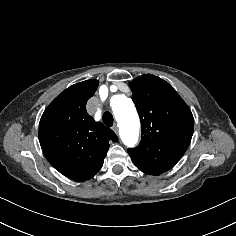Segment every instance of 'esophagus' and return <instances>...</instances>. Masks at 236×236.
I'll list each match as a JSON object with an SVG mask.
<instances>
[{
  "mask_svg": "<svg viewBox=\"0 0 236 236\" xmlns=\"http://www.w3.org/2000/svg\"><path fill=\"white\" fill-rule=\"evenodd\" d=\"M112 130L117 134L118 133V127L116 124L112 126Z\"/></svg>",
  "mask_w": 236,
  "mask_h": 236,
  "instance_id": "obj_1",
  "label": "esophagus"
}]
</instances>
